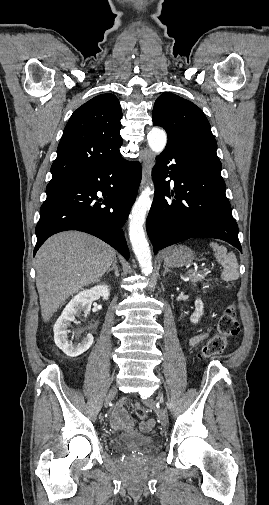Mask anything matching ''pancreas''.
Wrapping results in <instances>:
<instances>
[{"mask_svg":"<svg viewBox=\"0 0 269 505\" xmlns=\"http://www.w3.org/2000/svg\"><path fill=\"white\" fill-rule=\"evenodd\" d=\"M206 275H207L206 271H201V272L193 271V272L189 273L190 280L194 285L197 282H201L205 278Z\"/></svg>","mask_w":269,"mask_h":505,"instance_id":"1","label":"pancreas"}]
</instances>
